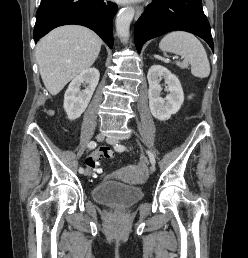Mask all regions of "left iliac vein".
Returning a JSON list of instances; mask_svg holds the SVG:
<instances>
[{
	"label": "left iliac vein",
	"mask_w": 248,
	"mask_h": 258,
	"mask_svg": "<svg viewBox=\"0 0 248 258\" xmlns=\"http://www.w3.org/2000/svg\"><path fill=\"white\" fill-rule=\"evenodd\" d=\"M106 142L109 143V144H111V145H116L119 141H118V138H117V137L108 136V137L106 138ZM150 170H151V172H154V171H155V166H154V165H151Z\"/></svg>",
	"instance_id": "4c4485c4"
}]
</instances>
